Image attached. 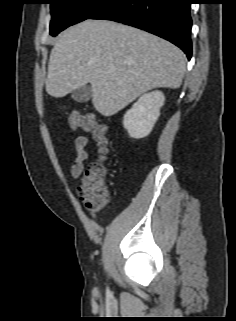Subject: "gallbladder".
<instances>
[{"instance_id": "bac80fb5", "label": "gallbladder", "mask_w": 236, "mask_h": 321, "mask_svg": "<svg viewBox=\"0 0 236 321\" xmlns=\"http://www.w3.org/2000/svg\"><path fill=\"white\" fill-rule=\"evenodd\" d=\"M91 96L92 89L90 85L79 87L72 92V98L79 103L87 102Z\"/></svg>"}]
</instances>
